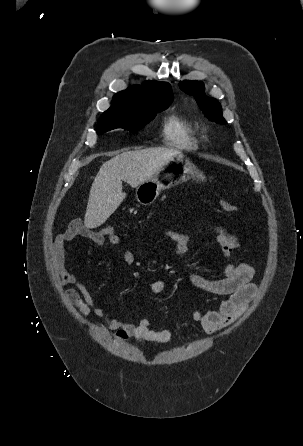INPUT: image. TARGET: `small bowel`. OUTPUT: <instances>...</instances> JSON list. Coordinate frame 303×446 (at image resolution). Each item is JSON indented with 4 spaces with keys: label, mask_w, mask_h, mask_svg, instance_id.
<instances>
[{
    "label": "small bowel",
    "mask_w": 303,
    "mask_h": 446,
    "mask_svg": "<svg viewBox=\"0 0 303 446\" xmlns=\"http://www.w3.org/2000/svg\"><path fill=\"white\" fill-rule=\"evenodd\" d=\"M215 239L223 258L227 261L224 267V275L218 279H208L200 273L189 270L188 278L193 285L210 294L222 297L218 308L208 311H195L189 321L198 323L207 334H213L231 325L246 310L249 302L256 292V286L252 282L254 276L253 268L246 263H233L231 258L241 247L240 240L224 228H215ZM165 237L174 244L175 253L185 258L187 256L191 235L168 229L164 232ZM76 236L91 239L96 245L104 246L109 243L115 247L123 261L133 266L136 258L132 252L124 249L120 238L115 236L106 237L101 231L88 229L82 221L74 220L52 240V254L56 269L59 274L60 283L63 286H72L65 290L67 299L77 307L82 316L93 314L103 319L107 326L115 331V338L125 341L134 338L141 342L166 344L170 341L172 333L167 328H155L148 317L141 318L137 323L124 322L118 318H111L93 299L85 284L66 267L65 246ZM167 287L164 280H155L150 286V292L154 295L162 293Z\"/></svg>",
    "instance_id": "obj_1"
}]
</instances>
